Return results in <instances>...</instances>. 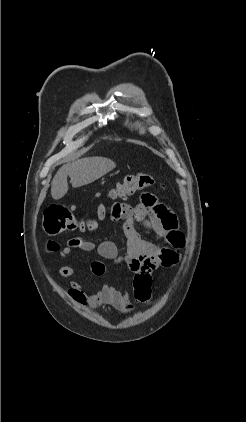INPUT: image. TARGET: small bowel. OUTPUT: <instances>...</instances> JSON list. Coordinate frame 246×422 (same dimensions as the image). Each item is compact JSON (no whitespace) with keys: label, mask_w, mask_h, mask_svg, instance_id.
I'll return each instance as SVG.
<instances>
[{"label":"small bowel","mask_w":246,"mask_h":422,"mask_svg":"<svg viewBox=\"0 0 246 422\" xmlns=\"http://www.w3.org/2000/svg\"><path fill=\"white\" fill-rule=\"evenodd\" d=\"M110 219L123 221L127 249L122 254L112 241L94 244L81 237L71 238L65 247H60L58 243L49 241L47 250L58 252L61 258L72 256L75 250L97 251L102 258L118 265H124L134 272L135 266L143 258L157 256L164 249L178 251L185 245V237L179 230L176 215L169 206L161 204L153 194L143 195L142 202L134 206L114 204L110 210ZM136 220L147 221L156 236L162 239L167 246H160L143 239L135 227ZM91 270L94 275L102 276L105 266L101 261H94ZM57 274L60 277L69 278L76 276L77 270L73 266L65 265L58 269ZM68 293L77 302L92 308L108 305L123 314L129 313L133 309V302L128 294L110 284H104L95 293H87L78 282L72 281Z\"/></svg>","instance_id":"small-bowel-1"}]
</instances>
